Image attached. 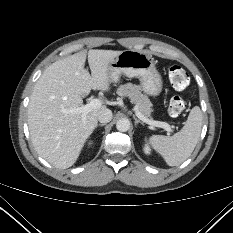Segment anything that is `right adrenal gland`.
Returning <instances> with one entry per match:
<instances>
[{
    "instance_id": "2a0ac1e0",
    "label": "right adrenal gland",
    "mask_w": 233,
    "mask_h": 233,
    "mask_svg": "<svg viewBox=\"0 0 233 233\" xmlns=\"http://www.w3.org/2000/svg\"><path fill=\"white\" fill-rule=\"evenodd\" d=\"M104 125H106V124H105V123L97 124V126H96V127H98V126H104Z\"/></svg>"
}]
</instances>
